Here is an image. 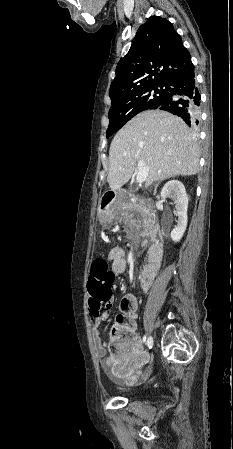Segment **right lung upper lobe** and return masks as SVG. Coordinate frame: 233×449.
Here are the masks:
<instances>
[{
    "instance_id": "1",
    "label": "right lung upper lobe",
    "mask_w": 233,
    "mask_h": 449,
    "mask_svg": "<svg viewBox=\"0 0 233 449\" xmlns=\"http://www.w3.org/2000/svg\"><path fill=\"white\" fill-rule=\"evenodd\" d=\"M193 68L172 23L152 16L139 27L129 52L119 61L109 96L113 99L149 85L167 84Z\"/></svg>"
}]
</instances>
